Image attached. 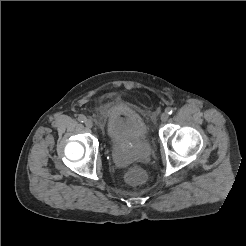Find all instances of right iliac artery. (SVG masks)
<instances>
[{"mask_svg": "<svg viewBox=\"0 0 246 246\" xmlns=\"http://www.w3.org/2000/svg\"><path fill=\"white\" fill-rule=\"evenodd\" d=\"M78 120H79L80 122H84V121H85V116L79 115Z\"/></svg>", "mask_w": 246, "mask_h": 246, "instance_id": "obj_1", "label": "right iliac artery"}]
</instances>
